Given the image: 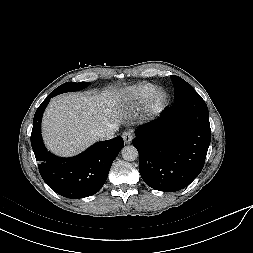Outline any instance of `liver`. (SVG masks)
<instances>
[{
    "mask_svg": "<svg viewBox=\"0 0 253 253\" xmlns=\"http://www.w3.org/2000/svg\"><path fill=\"white\" fill-rule=\"evenodd\" d=\"M118 95L62 94L53 98L42 121L43 139L55 154H78L99 140L94 130L118 123Z\"/></svg>",
    "mask_w": 253,
    "mask_h": 253,
    "instance_id": "liver-1",
    "label": "liver"
}]
</instances>
